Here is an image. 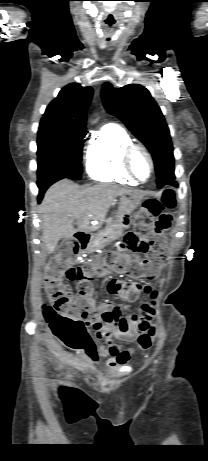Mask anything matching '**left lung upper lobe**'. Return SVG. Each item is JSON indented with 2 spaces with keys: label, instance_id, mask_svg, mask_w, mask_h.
<instances>
[{
  "label": "left lung upper lobe",
  "instance_id": "5c2ea615",
  "mask_svg": "<svg viewBox=\"0 0 208 461\" xmlns=\"http://www.w3.org/2000/svg\"><path fill=\"white\" fill-rule=\"evenodd\" d=\"M101 95L108 113L121 119L149 149L155 163L158 187L175 178L170 132L150 92L139 84L114 88L106 82Z\"/></svg>",
  "mask_w": 208,
  "mask_h": 461
}]
</instances>
